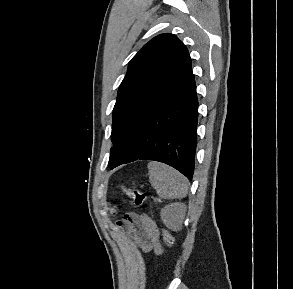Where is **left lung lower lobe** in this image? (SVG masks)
Instances as JSON below:
<instances>
[{
	"label": "left lung lower lobe",
	"instance_id": "1",
	"mask_svg": "<svg viewBox=\"0 0 293 289\" xmlns=\"http://www.w3.org/2000/svg\"><path fill=\"white\" fill-rule=\"evenodd\" d=\"M198 100L192 69L186 71L130 126L117 147L125 163L155 160L192 180L196 151Z\"/></svg>",
	"mask_w": 293,
	"mask_h": 289
}]
</instances>
